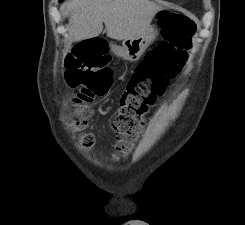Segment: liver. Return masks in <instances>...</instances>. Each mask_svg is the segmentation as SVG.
I'll use <instances>...</instances> for the list:
<instances>
[{
    "mask_svg": "<svg viewBox=\"0 0 245 225\" xmlns=\"http://www.w3.org/2000/svg\"><path fill=\"white\" fill-rule=\"evenodd\" d=\"M161 7L150 0H68L62 10L70 11L69 41L98 36L106 26L107 36L126 40L141 35Z\"/></svg>",
    "mask_w": 245,
    "mask_h": 225,
    "instance_id": "6515ba94",
    "label": "liver"
}]
</instances>
